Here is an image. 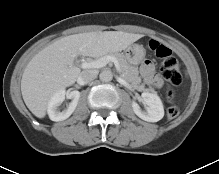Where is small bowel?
Segmentation results:
<instances>
[{"mask_svg": "<svg viewBox=\"0 0 219 174\" xmlns=\"http://www.w3.org/2000/svg\"><path fill=\"white\" fill-rule=\"evenodd\" d=\"M141 74L149 85L153 87H159L161 85V79L156 72L154 63L151 60L144 61L141 66Z\"/></svg>", "mask_w": 219, "mask_h": 174, "instance_id": "obj_1", "label": "small bowel"}]
</instances>
